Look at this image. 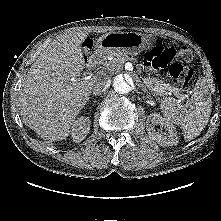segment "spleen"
<instances>
[{
    "instance_id": "obj_1",
    "label": "spleen",
    "mask_w": 221,
    "mask_h": 221,
    "mask_svg": "<svg viewBox=\"0 0 221 221\" xmlns=\"http://www.w3.org/2000/svg\"><path fill=\"white\" fill-rule=\"evenodd\" d=\"M211 103L208 87L201 81L196 84L191 98L185 105L179 104L175 99L165 98L161 103V109L167 121L183 130L185 140H192L207 125Z\"/></svg>"
}]
</instances>
